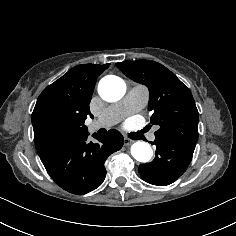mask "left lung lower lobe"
Masks as SVG:
<instances>
[{"mask_svg":"<svg viewBox=\"0 0 236 236\" xmlns=\"http://www.w3.org/2000/svg\"><path fill=\"white\" fill-rule=\"evenodd\" d=\"M156 157L147 164H141L138 172L148 183L166 186L176 181L188 168L195 145L186 144L165 137H155Z\"/></svg>","mask_w":236,"mask_h":236,"instance_id":"0a47b994","label":"left lung lower lobe"}]
</instances>
